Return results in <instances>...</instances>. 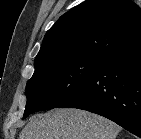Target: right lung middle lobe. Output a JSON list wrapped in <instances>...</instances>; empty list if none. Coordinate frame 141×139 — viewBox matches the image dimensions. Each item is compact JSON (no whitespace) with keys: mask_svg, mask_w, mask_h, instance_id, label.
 <instances>
[{"mask_svg":"<svg viewBox=\"0 0 141 139\" xmlns=\"http://www.w3.org/2000/svg\"><path fill=\"white\" fill-rule=\"evenodd\" d=\"M108 60L83 56L35 68L27 82L23 119L37 111L50 110L87 84Z\"/></svg>","mask_w":141,"mask_h":139,"instance_id":"1","label":"right lung middle lobe"}]
</instances>
